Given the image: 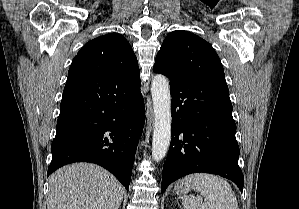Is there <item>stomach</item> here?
I'll use <instances>...</instances> for the list:
<instances>
[{"label": "stomach", "mask_w": 299, "mask_h": 209, "mask_svg": "<svg viewBox=\"0 0 299 209\" xmlns=\"http://www.w3.org/2000/svg\"><path fill=\"white\" fill-rule=\"evenodd\" d=\"M191 190L190 187L186 186L183 181H179L175 185V192L177 194H183L186 195Z\"/></svg>", "instance_id": "stomach-1"}]
</instances>
